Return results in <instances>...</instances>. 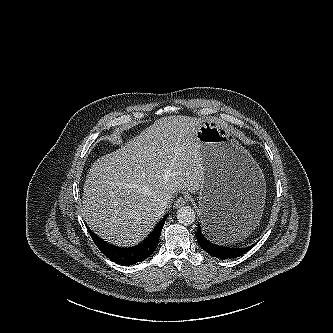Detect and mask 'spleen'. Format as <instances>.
Listing matches in <instances>:
<instances>
[{
    "label": "spleen",
    "mask_w": 333,
    "mask_h": 333,
    "mask_svg": "<svg viewBox=\"0 0 333 333\" xmlns=\"http://www.w3.org/2000/svg\"><path fill=\"white\" fill-rule=\"evenodd\" d=\"M251 224H253V222ZM246 225L247 221L240 223L238 227L231 226L226 233L222 234L221 240L224 241H233L237 239L241 240L242 238L246 237L257 224H255V226H248V227Z\"/></svg>",
    "instance_id": "1"
}]
</instances>
